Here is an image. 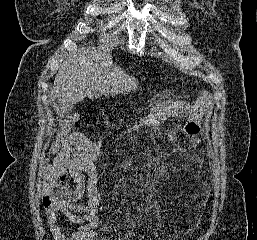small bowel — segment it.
<instances>
[{"instance_id": "small-bowel-1", "label": "small bowel", "mask_w": 257, "mask_h": 240, "mask_svg": "<svg viewBox=\"0 0 257 240\" xmlns=\"http://www.w3.org/2000/svg\"><path fill=\"white\" fill-rule=\"evenodd\" d=\"M102 140L93 142L79 133H72L67 140L55 144L54 159L43 171L42 184L44 189L52 190L56 186H64L66 173L69 169L75 175L85 172L88 175L89 201L87 205L75 204L84 193L82 187L67 194L65 199H54L46 206L47 222L54 240H98L97 215L98 201L96 193V172L94 162L100 151ZM73 150H76L72 160L69 159ZM69 165V167H67ZM62 214L69 221L80 224V227L71 234H66L58 223L57 215ZM119 240H134L129 235H123Z\"/></svg>"}]
</instances>
